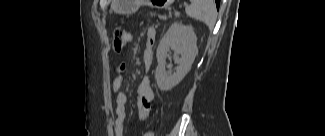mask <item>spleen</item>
Returning <instances> with one entry per match:
<instances>
[{
  "label": "spleen",
  "mask_w": 325,
  "mask_h": 136,
  "mask_svg": "<svg viewBox=\"0 0 325 136\" xmlns=\"http://www.w3.org/2000/svg\"><path fill=\"white\" fill-rule=\"evenodd\" d=\"M185 11L189 17L205 23L210 30L214 28L217 13L213 0H191Z\"/></svg>",
  "instance_id": "spleen-1"
}]
</instances>
